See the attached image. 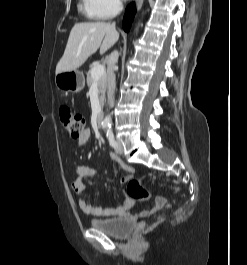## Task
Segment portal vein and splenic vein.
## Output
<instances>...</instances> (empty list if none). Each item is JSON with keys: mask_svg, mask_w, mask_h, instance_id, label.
Wrapping results in <instances>:
<instances>
[{"mask_svg": "<svg viewBox=\"0 0 247 265\" xmlns=\"http://www.w3.org/2000/svg\"><path fill=\"white\" fill-rule=\"evenodd\" d=\"M105 68L103 65L95 66L91 71V76L93 79H99L104 74Z\"/></svg>", "mask_w": 247, "mask_h": 265, "instance_id": "1", "label": "portal vein and splenic vein"}]
</instances>
